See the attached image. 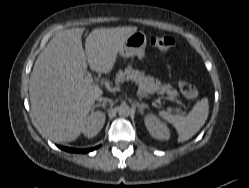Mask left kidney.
<instances>
[{
  "mask_svg": "<svg viewBox=\"0 0 249 188\" xmlns=\"http://www.w3.org/2000/svg\"><path fill=\"white\" fill-rule=\"evenodd\" d=\"M145 125L149 133L156 139L168 140L170 131L166 124L161 122L155 115L149 114L145 117Z\"/></svg>",
  "mask_w": 249,
  "mask_h": 188,
  "instance_id": "obj_1",
  "label": "left kidney"
}]
</instances>
